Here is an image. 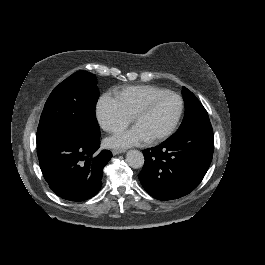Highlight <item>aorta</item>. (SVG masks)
Segmentation results:
<instances>
[{
    "label": "aorta",
    "mask_w": 265,
    "mask_h": 265,
    "mask_svg": "<svg viewBox=\"0 0 265 265\" xmlns=\"http://www.w3.org/2000/svg\"><path fill=\"white\" fill-rule=\"evenodd\" d=\"M126 162L132 168H140L144 164L143 154L136 149L129 150L125 156Z\"/></svg>",
    "instance_id": "obj_1"
}]
</instances>
